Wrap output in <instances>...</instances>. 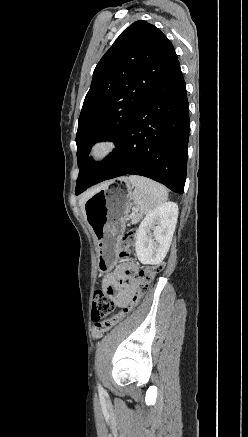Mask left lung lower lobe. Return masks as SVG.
<instances>
[{
  "instance_id": "obj_1",
  "label": "left lung lower lobe",
  "mask_w": 248,
  "mask_h": 437,
  "mask_svg": "<svg viewBox=\"0 0 248 437\" xmlns=\"http://www.w3.org/2000/svg\"><path fill=\"white\" fill-rule=\"evenodd\" d=\"M189 130L186 85L177 60L133 114L116 152L92 185L135 174L183 193Z\"/></svg>"
}]
</instances>
